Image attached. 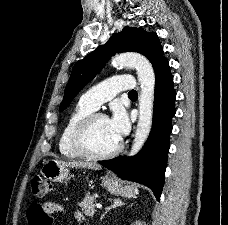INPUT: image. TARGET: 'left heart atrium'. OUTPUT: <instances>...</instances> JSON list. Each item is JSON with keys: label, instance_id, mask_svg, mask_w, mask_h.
<instances>
[{"label": "left heart atrium", "instance_id": "obj_1", "mask_svg": "<svg viewBox=\"0 0 228 225\" xmlns=\"http://www.w3.org/2000/svg\"><path fill=\"white\" fill-rule=\"evenodd\" d=\"M108 126L112 135L121 140L128 131L129 123L124 111L119 108L113 110L110 118L107 119Z\"/></svg>", "mask_w": 228, "mask_h": 225}]
</instances>
